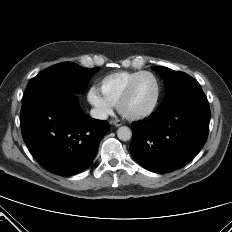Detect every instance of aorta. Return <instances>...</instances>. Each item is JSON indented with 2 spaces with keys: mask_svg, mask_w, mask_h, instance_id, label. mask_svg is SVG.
<instances>
[{
  "mask_svg": "<svg viewBox=\"0 0 232 232\" xmlns=\"http://www.w3.org/2000/svg\"><path fill=\"white\" fill-rule=\"evenodd\" d=\"M117 137L122 141H128L132 137V131L127 126H122L117 130Z\"/></svg>",
  "mask_w": 232,
  "mask_h": 232,
  "instance_id": "1",
  "label": "aorta"
}]
</instances>
